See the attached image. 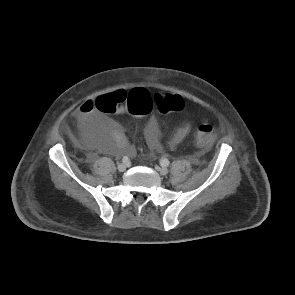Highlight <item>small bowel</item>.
I'll return each mask as SVG.
<instances>
[{
    "label": "small bowel",
    "mask_w": 295,
    "mask_h": 295,
    "mask_svg": "<svg viewBox=\"0 0 295 295\" xmlns=\"http://www.w3.org/2000/svg\"><path fill=\"white\" fill-rule=\"evenodd\" d=\"M74 116L84 138L96 149L108 153L122 152L129 156L135 155L134 147L129 144L122 130L113 120L103 116L93 101L81 104ZM191 127V122L185 121L173 134L170 146L178 147L189 135ZM144 131L151 153H160L162 147L155 118L150 119Z\"/></svg>",
    "instance_id": "small-bowel-1"
}]
</instances>
